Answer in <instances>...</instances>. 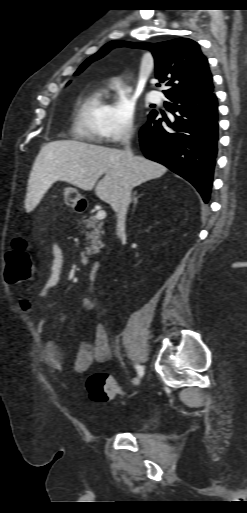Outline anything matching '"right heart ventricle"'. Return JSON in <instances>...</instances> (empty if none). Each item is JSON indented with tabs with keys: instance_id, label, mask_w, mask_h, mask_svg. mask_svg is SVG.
I'll return each mask as SVG.
<instances>
[{
	"instance_id": "1",
	"label": "right heart ventricle",
	"mask_w": 247,
	"mask_h": 513,
	"mask_svg": "<svg viewBox=\"0 0 247 513\" xmlns=\"http://www.w3.org/2000/svg\"><path fill=\"white\" fill-rule=\"evenodd\" d=\"M104 86H97L81 95L76 103L71 131L74 137L90 142L102 140L103 122L108 109Z\"/></svg>"
}]
</instances>
